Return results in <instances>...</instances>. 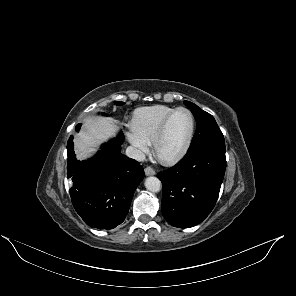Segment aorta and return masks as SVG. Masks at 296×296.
Returning a JSON list of instances; mask_svg holds the SVG:
<instances>
[{
    "instance_id": "obj_1",
    "label": "aorta",
    "mask_w": 296,
    "mask_h": 296,
    "mask_svg": "<svg viewBox=\"0 0 296 296\" xmlns=\"http://www.w3.org/2000/svg\"><path fill=\"white\" fill-rule=\"evenodd\" d=\"M145 187L151 192H159L161 189V181L157 177L150 176L145 180Z\"/></svg>"
}]
</instances>
